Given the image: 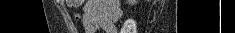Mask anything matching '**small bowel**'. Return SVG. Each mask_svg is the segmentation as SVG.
Returning a JSON list of instances; mask_svg holds the SVG:
<instances>
[{
  "label": "small bowel",
  "instance_id": "c3829d8e",
  "mask_svg": "<svg viewBox=\"0 0 235 33\" xmlns=\"http://www.w3.org/2000/svg\"><path fill=\"white\" fill-rule=\"evenodd\" d=\"M82 24L86 33H117L121 13L116 0H88L83 7Z\"/></svg>",
  "mask_w": 235,
  "mask_h": 33
}]
</instances>
